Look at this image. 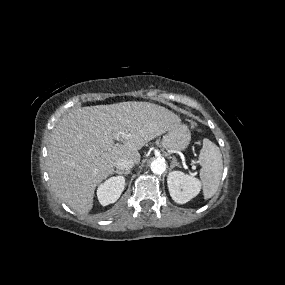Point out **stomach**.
I'll list each match as a JSON object with an SVG mask.
<instances>
[{
    "instance_id": "0dacf381",
    "label": "stomach",
    "mask_w": 285,
    "mask_h": 285,
    "mask_svg": "<svg viewBox=\"0 0 285 285\" xmlns=\"http://www.w3.org/2000/svg\"><path fill=\"white\" fill-rule=\"evenodd\" d=\"M191 140V133L184 124H178L165 134L161 146L165 150L182 151L187 148Z\"/></svg>"
}]
</instances>
